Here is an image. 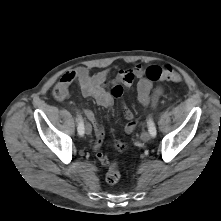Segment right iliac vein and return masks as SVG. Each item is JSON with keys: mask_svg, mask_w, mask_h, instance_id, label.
I'll use <instances>...</instances> for the list:
<instances>
[{"mask_svg": "<svg viewBox=\"0 0 221 221\" xmlns=\"http://www.w3.org/2000/svg\"><path fill=\"white\" fill-rule=\"evenodd\" d=\"M85 132H86V134H88V135H90L91 132H92V127H91V125H90L89 123H87V124L85 125Z\"/></svg>", "mask_w": 221, "mask_h": 221, "instance_id": "obj_1", "label": "right iliac vein"}]
</instances>
